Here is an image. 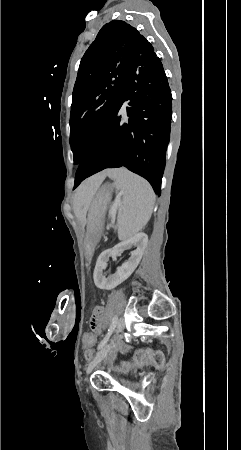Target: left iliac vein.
Masks as SVG:
<instances>
[{"label":"left iliac vein","mask_w":241,"mask_h":450,"mask_svg":"<svg viewBox=\"0 0 241 450\" xmlns=\"http://www.w3.org/2000/svg\"><path fill=\"white\" fill-rule=\"evenodd\" d=\"M124 327L125 321L123 318H120L116 326V335L112 337L108 345H106L97 353L93 361L87 366V373H90L92 370H94L100 364V362L107 356L110 349L114 348L121 341V332L124 329Z\"/></svg>","instance_id":"4c4485c4"}]
</instances>
